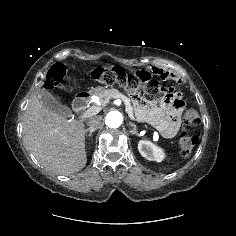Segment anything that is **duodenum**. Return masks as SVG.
Wrapping results in <instances>:
<instances>
[{
    "label": "duodenum",
    "instance_id": "duodenum-1",
    "mask_svg": "<svg viewBox=\"0 0 236 236\" xmlns=\"http://www.w3.org/2000/svg\"><path fill=\"white\" fill-rule=\"evenodd\" d=\"M90 100V95L87 93L79 95L74 101H73V109L74 111L80 113L85 110V108L88 105V102Z\"/></svg>",
    "mask_w": 236,
    "mask_h": 236
}]
</instances>
